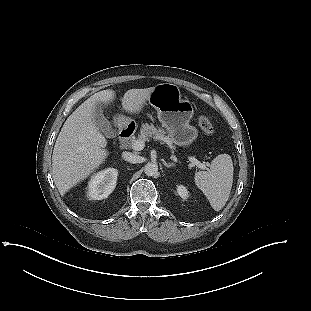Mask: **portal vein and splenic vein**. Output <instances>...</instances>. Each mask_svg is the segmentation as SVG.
<instances>
[{
	"instance_id": "1",
	"label": "portal vein and splenic vein",
	"mask_w": 311,
	"mask_h": 311,
	"mask_svg": "<svg viewBox=\"0 0 311 311\" xmlns=\"http://www.w3.org/2000/svg\"><path fill=\"white\" fill-rule=\"evenodd\" d=\"M130 148L133 149L134 151H140V150H142V149L144 148V141H143V140H142V141L136 140V141H134V142H132V143L130 144ZM191 160H192V162H193L196 166H198V167H200V168H202V169H206L205 164L200 163V162H199L198 160H196V159H192V158H191Z\"/></svg>"
}]
</instances>
